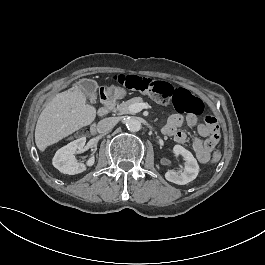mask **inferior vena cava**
<instances>
[{"label": "inferior vena cava", "mask_w": 265, "mask_h": 265, "mask_svg": "<svg viewBox=\"0 0 265 265\" xmlns=\"http://www.w3.org/2000/svg\"><path fill=\"white\" fill-rule=\"evenodd\" d=\"M117 124V119L114 117H108L98 122L96 130L98 133L104 134L111 130Z\"/></svg>", "instance_id": "602c4592"}]
</instances>
